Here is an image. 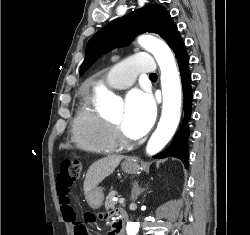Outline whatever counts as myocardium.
Returning a JSON list of instances; mask_svg holds the SVG:
<instances>
[{
  "mask_svg": "<svg viewBox=\"0 0 250 235\" xmlns=\"http://www.w3.org/2000/svg\"><path fill=\"white\" fill-rule=\"evenodd\" d=\"M108 122L113 127L117 137H119L123 141H129V138L126 136V134L124 133L123 129L121 128L119 124L114 123L112 121H108Z\"/></svg>",
  "mask_w": 250,
  "mask_h": 235,
  "instance_id": "myocardium-1",
  "label": "myocardium"
}]
</instances>
